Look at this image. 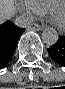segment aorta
<instances>
[{
  "label": "aorta",
  "mask_w": 65,
  "mask_h": 89,
  "mask_svg": "<svg viewBox=\"0 0 65 89\" xmlns=\"http://www.w3.org/2000/svg\"><path fill=\"white\" fill-rule=\"evenodd\" d=\"M58 38L59 36L57 31L52 27H47L42 32V40L48 46H52L56 44L58 41Z\"/></svg>",
  "instance_id": "1"
}]
</instances>
